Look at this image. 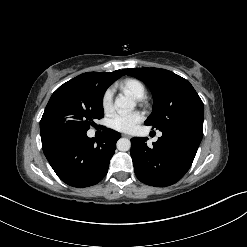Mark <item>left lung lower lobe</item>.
<instances>
[{"label": "left lung lower lobe", "instance_id": "left-lung-lower-lobe-1", "mask_svg": "<svg viewBox=\"0 0 247 247\" xmlns=\"http://www.w3.org/2000/svg\"><path fill=\"white\" fill-rule=\"evenodd\" d=\"M162 133L153 147L147 146V138L131 139L135 174L150 186L166 187L178 182L191 167L202 139L183 128Z\"/></svg>", "mask_w": 247, "mask_h": 247}]
</instances>
